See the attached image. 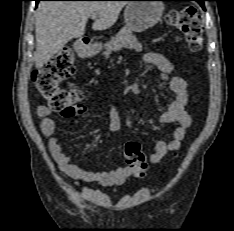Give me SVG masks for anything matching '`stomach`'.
Masks as SVG:
<instances>
[{
	"instance_id": "stomach-1",
	"label": "stomach",
	"mask_w": 234,
	"mask_h": 231,
	"mask_svg": "<svg viewBox=\"0 0 234 231\" xmlns=\"http://www.w3.org/2000/svg\"><path fill=\"white\" fill-rule=\"evenodd\" d=\"M164 5L156 0H133L127 3L124 11V19L129 30L143 32L155 26L162 17ZM102 46L94 44L78 49L80 55L90 57L100 52Z\"/></svg>"
}]
</instances>
